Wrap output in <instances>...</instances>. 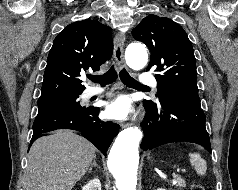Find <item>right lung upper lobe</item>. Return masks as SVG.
I'll list each match as a JSON object with an SVG mask.
<instances>
[{
  "label": "right lung upper lobe",
  "instance_id": "right-lung-upper-lobe-1",
  "mask_svg": "<svg viewBox=\"0 0 238 190\" xmlns=\"http://www.w3.org/2000/svg\"><path fill=\"white\" fill-rule=\"evenodd\" d=\"M111 28L94 20L74 22L54 39L39 100L81 94L84 71H98L113 52Z\"/></svg>",
  "mask_w": 238,
  "mask_h": 190
}]
</instances>
